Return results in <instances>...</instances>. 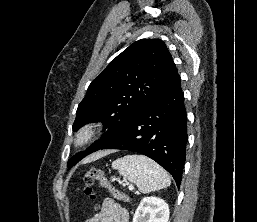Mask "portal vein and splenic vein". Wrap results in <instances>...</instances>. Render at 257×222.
Masks as SVG:
<instances>
[{
    "instance_id": "18ae733b",
    "label": "portal vein and splenic vein",
    "mask_w": 257,
    "mask_h": 222,
    "mask_svg": "<svg viewBox=\"0 0 257 222\" xmlns=\"http://www.w3.org/2000/svg\"><path fill=\"white\" fill-rule=\"evenodd\" d=\"M134 187L132 185L129 186V190H133Z\"/></svg>"
}]
</instances>
